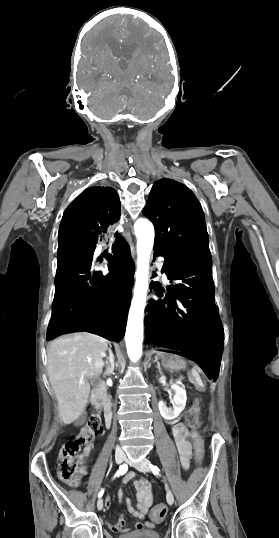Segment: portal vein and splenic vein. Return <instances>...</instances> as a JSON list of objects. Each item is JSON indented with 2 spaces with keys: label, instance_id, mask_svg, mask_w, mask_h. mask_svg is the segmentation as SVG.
<instances>
[{
  "label": "portal vein and splenic vein",
  "instance_id": "obj_1",
  "mask_svg": "<svg viewBox=\"0 0 279 538\" xmlns=\"http://www.w3.org/2000/svg\"><path fill=\"white\" fill-rule=\"evenodd\" d=\"M183 379H186V376L175 377V380H177V383H183Z\"/></svg>",
  "mask_w": 279,
  "mask_h": 538
}]
</instances>
